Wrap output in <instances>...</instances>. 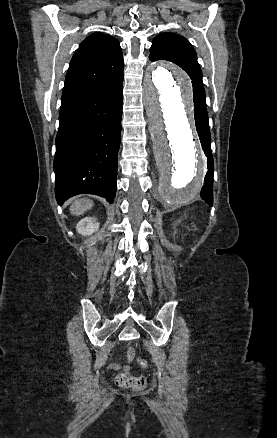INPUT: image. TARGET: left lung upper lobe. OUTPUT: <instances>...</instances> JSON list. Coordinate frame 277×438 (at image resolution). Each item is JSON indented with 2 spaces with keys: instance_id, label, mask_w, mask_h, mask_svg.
Segmentation results:
<instances>
[{
  "instance_id": "left-lung-upper-lobe-1",
  "label": "left lung upper lobe",
  "mask_w": 277,
  "mask_h": 438,
  "mask_svg": "<svg viewBox=\"0 0 277 438\" xmlns=\"http://www.w3.org/2000/svg\"><path fill=\"white\" fill-rule=\"evenodd\" d=\"M149 59L171 61L185 70L192 79L194 111L207 113L202 71L195 50L185 37L169 32L157 35L152 41Z\"/></svg>"
}]
</instances>
